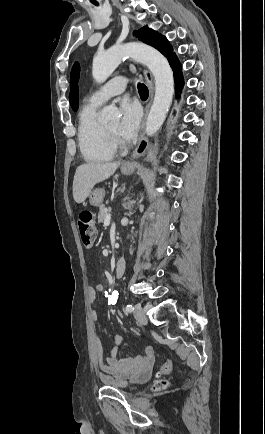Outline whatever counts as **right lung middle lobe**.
I'll use <instances>...</instances> for the list:
<instances>
[{
    "instance_id": "1",
    "label": "right lung middle lobe",
    "mask_w": 265,
    "mask_h": 434,
    "mask_svg": "<svg viewBox=\"0 0 265 434\" xmlns=\"http://www.w3.org/2000/svg\"><path fill=\"white\" fill-rule=\"evenodd\" d=\"M74 111H76L77 110V108H72Z\"/></svg>"
}]
</instances>
